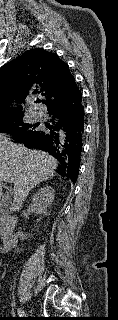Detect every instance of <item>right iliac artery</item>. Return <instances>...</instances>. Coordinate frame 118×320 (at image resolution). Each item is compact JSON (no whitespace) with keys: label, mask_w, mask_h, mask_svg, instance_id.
Returning a JSON list of instances; mask_svg holds the SVG:
<instances>
[{"label":"right iliac artery","mask_w":118,"mask_h":320,"mask_svg":"<svg viewBox=\"0 0 118 320\" xmlns=\"http://www.w3.org/2000/svg\"><path fill=\"white\" fill-rule=\"evenodd\" d=\"M18 314H19L20 316L26 315L25 312H24V310H23L22 308H19V309H18Z\"/></svg>","instance_id":"82829eb1"}]
</instances>
